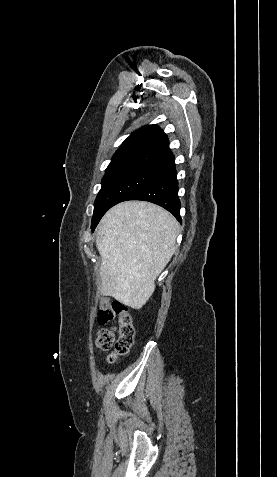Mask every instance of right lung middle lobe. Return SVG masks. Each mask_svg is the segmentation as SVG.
I'll list each match as a JSON object with an SVG mask.
<instances>
[{"instance_id": "right-lung-middle-lobe-1", "label": "right lung middle lobe", "mask_w": 277, "mask_h": 477, "mask_svg": "<svg viewBox=\"0 0 277 477\" xmlns=\"http://www.w3.org/2000/svg\"><path fill=\"white\" fill-rule=\"evenodd\" d=\"M159 170L160 168L132 165L106 171L94 203L92 231L107 210L122 201L129 200L148 184Z\"/></svg>"}]
</instances>
